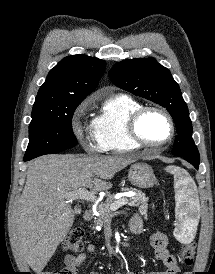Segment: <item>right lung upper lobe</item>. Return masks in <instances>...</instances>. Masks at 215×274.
<instances>
[{"instance_id":"right-lung-upper-lobe-1","label":"right lung upper lobe","mask_w":215,"mask_h":274,"mask_svg":"<svg viewBox=\"0 0 215 274\" xmlns=\"http://www.w3.org/2000/svg\"><path fill=\"white\" fill-rule=\"evenodd\" d=\"M106 63L83 54L62 59L40 87L35 103H81L98 85Z\"/></svg>"}]
</instances>
